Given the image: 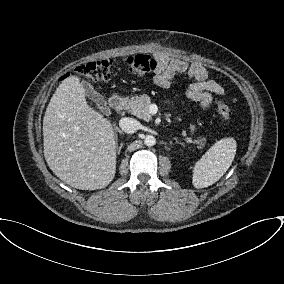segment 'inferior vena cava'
Returning a JSON list of instances; mask_svg holds the SVG:
<instances>
[{"label":"inferior vena cava","instance_id":"1","mask_svg":"<svg viewBox=\"0 0 284 284\" xmlns=\"http://www.w3.org/2000/svg\"><path fill=\"white\" fill-rule=\"evenodd\" d=\"M119 126L126 133H134L139 128V122L133 118L124 117L120 119Z\"/></svg>","mask_w":284,"mask_h":284}]
</instances>
